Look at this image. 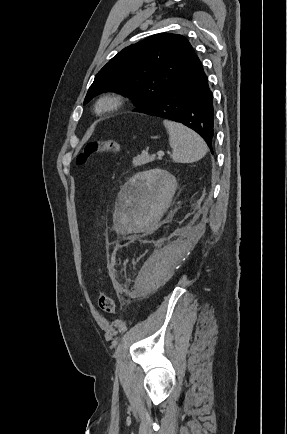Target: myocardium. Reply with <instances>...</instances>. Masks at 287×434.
<instances>
[{"label": "myocardium", "mask_w": 287, "mask_h": 434, "mask_svg": "<svg viewBox=\"0 0 287 434\" xmlns=\"http://www.w3.org/2000/svg\"><path fill=\"white\" fill-rule=\"evenodd\" d=\"M123 105V99L117 94H106L99 97L95 103V112L98 115H108L119 110Z\"/></svg>", "instance_id": "1"}]
</instances>
